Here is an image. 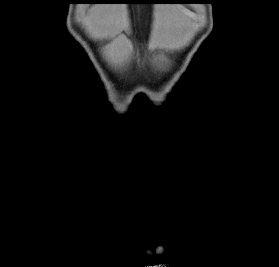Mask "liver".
Here are the masks:
<instances>
[{
	"instance_id": "liver-1",
	"label": "liver",
	"mask_w": 279,
	"mask_h": 267,
	"mask_svg": "<svg viewBox=\"0 0 279 267\" xmlns=\"http://www.w3.org/2000/svg\"><path fill=\"white\" fill-rule=\"evenodd\" d=\"M174 22L173 18L171 16L168 17L167 20V28H166V33H165V39H166V44L168 47H175L176 46V37H175V27H174ZM110 28L103 27V26H98L95 31V36L96 37H102L105 35H108L112 32ZM112 57L114 58L115 61H119V54L115 52V50L112 51L111 53Z\"/></svg>"
}]
</instances>
